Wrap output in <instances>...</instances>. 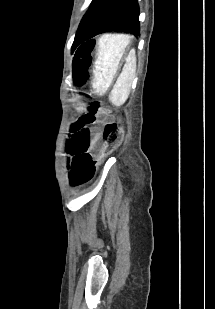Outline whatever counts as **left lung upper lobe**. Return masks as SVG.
<instances>
[{"label": "left lung upper lobe", "mask_w": 215, "mask_h": 309, "mask_svg": "<svg viewBox=\"0 0 215 309\" xmlns=\"http://www.w3.org/2000/svg\"><path fill=\"white\" fill-rule=\"evenodd\" d=\"M114 30L140 34L139 6L136 0H93L79 25L73 46Z\"/></svg>", "instance_id": "left-lung-upper-lobe-1"}]
</instances>
